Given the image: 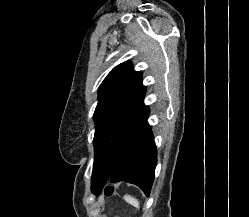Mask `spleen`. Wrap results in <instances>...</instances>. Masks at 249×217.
<instances>
[{"label":"spleen","mask_w":249,"mask_h":217,"mask_svg":"<svg viewBox=\"0 0 249 217\" xmlns=\"http://www.w3.org/2000/svg\"><path fill=\"white\" fill-rule=\"evenodd\" d=\"M124 199H125L126 202H128L132 206L139 209L140 203L138 202V200L136 198H134L132 196H129V195H125Z\"/></svg>","instance_id":"3e777b00"}]
</instances>
